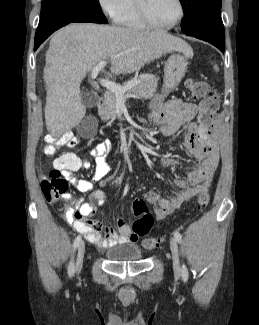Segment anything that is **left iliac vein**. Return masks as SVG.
<instances>
[{
    "label": "left iliac vein",
    "instance_id": "4c4485c4",
    "mask_svg": "<svg viewBox=\"0 0 259 325\" xmlns=\"http://www.w3.org/2000/svg\"><path fill=\"white\" fill-rule=\"evenodd\" d=\"M170 250L172 253L174 274L175 276L179 277L181 274V267H180V261L178 256L177 240L175 238L170 239Z\"/></svg>",
    "mask_w": 259,
    "mask_h": 325
}]
</instances>
